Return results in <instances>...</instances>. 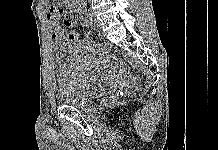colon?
<instances>
[{"label":"colon","mask_w":218,"mask_h":150,"mask_svg":"<svg viewBox=\"0 0 218 150\" xmlns=\"http://www.w3.org/2000/svg\"><path fill=\"white\" fill-rule=\"evenodd\" d=\"M77 21V16L73 12H67L64 17V23L69 28V31L66 34V39L75 40L77 39V31L75 30V24Z\"/></svg>","instance_id":"5ec220e1"}]
</instances>
